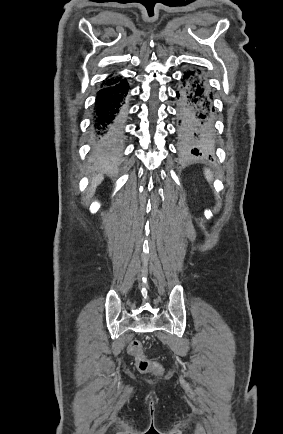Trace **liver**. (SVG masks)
<instances>
[{
    "instance_id": "6515ba94",
    "label": "liver",
    "mask_w": 283,
    "mask_h": 434,
    "mask_svg": "<svg viewBox=\"0 0 283 434\" xmlns=\"http://www.w3.org/2000/svg\"><path fill=\"white\" fill-rule=\"evenodd\" d=\"M102 180H103V176L102 175H95V176L92 177L91 186H90L89 193H88V196L86 197V199H90L91 198V196L93 195L96 187L102 182Z\"/></svg>"
}]
</instances>
